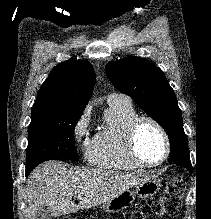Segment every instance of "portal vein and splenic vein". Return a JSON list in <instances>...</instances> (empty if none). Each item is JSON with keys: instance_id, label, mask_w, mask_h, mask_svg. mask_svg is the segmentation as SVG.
Returning a JSON list of instances; mask_svg holds the SVG:
<instances>
[{"instance_id": "obj_1", "label": "portal vein and splenic vein", "mask_w": 211, "mask_h": 219, "mask_svg": "<svg viewBox=\"0 0 211 219\" xmlns=\"http://www.w3.org/2000/svg\"><path fill=\"white\" fill-rule=\"evenodd\" d=\"M77 198H81V195H77Z\"/></svg>"}]
</instances>
